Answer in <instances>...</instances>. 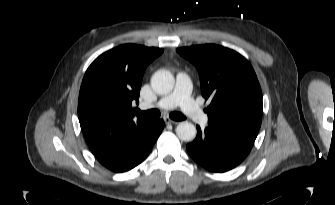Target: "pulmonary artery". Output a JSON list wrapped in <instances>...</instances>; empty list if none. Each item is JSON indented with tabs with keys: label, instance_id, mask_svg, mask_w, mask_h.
<instances>
[{
	"label": "pulmonary artery",
	"instance_id": "pulmonary-artery-1",
	"mask_svg": "<svg viewBox=\"0 0 335 205\" xmlns=\"http://www.w3.org/2000/svg\"><path fill=\"white\" fill-rule=\"evenodd\" d=\"M192 83L186 73L179 72L176 76V84L174 90L167 96L161 98L158 102L144 103L142 108H161L172 109L179 106L183 113L193 122L205 125L208 121L207 115L200 109L191 97Z\"/></svg>",
	"mask_w": 335,
	"mask_h": 205
}]
</instances>
